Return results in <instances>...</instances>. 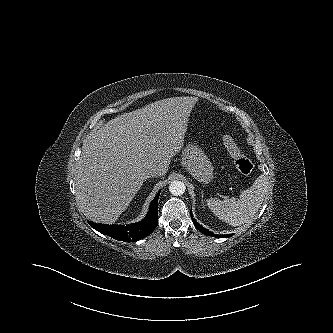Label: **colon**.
<instances>
[{
    "instance_id": "5ec220e1",
    "label": "colon",
    "mask_w": 333,
    "mask_h": 333,
    "mask_svg": "<svg viewBox=\"0 0 333 333\" xmlns=\"http://www.w3.org/2000/svg\"><path fill=\"white\" fill-rule=\"evenodd\" d=\"M223 144L228 154L232 158L238 172L243 175L250 174L253 171V164L250 159L242 153L233 137L229 134H226L223 137Z\"/></svg>"
}]
</instances>
